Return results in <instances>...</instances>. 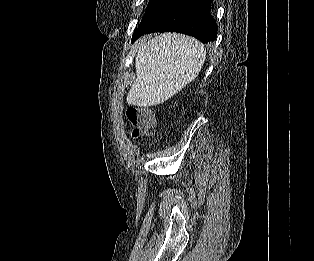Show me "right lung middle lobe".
Segmentation results:
<instances>
[{"mask_svg":"<svg viewBox=\"0 0 314 261\" xmlns=\"http://www.w3.org/2000/svg\"><path fill=\"white\" fill-rule=\"evenodd\" d=\"M173 1L174 0H150L140 25L156 16Z\"/></svg>","mask_w":314,"mask_h":261,"instance_id":"1","label":"right lung middle lobe"}]
</instances>
